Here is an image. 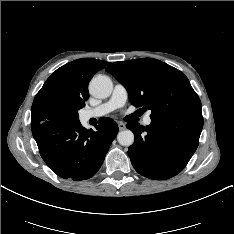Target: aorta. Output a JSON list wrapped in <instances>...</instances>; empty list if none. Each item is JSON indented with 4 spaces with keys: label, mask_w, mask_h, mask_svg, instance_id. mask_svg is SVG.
Here are the masks:
<instances>
[{
    "label": "aorta",
    "mask_w": 234,
    "mask_h": 234,
    "mask_svg": "<svg viewBox=\"0 0 234 234\" xmlns=\"http://www.w3.org/2000/svg\"><path fill=\"white\" fill-rule=\"evenodd\" d=\"M89 90L94 97L106 98L112 93L113 84L109 77L98 75L90 81ZM117 141L122 146H131L134 142V134L128 129L120 131Z\"/></svg>",
    "instance_id": "762f6f07"
}]
</instances>
